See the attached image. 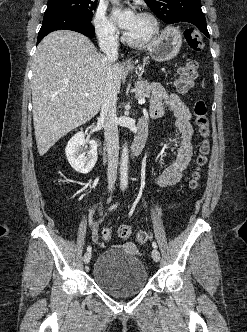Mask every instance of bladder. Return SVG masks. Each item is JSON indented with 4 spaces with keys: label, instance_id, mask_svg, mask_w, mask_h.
Masks as SVG:
<instances>
[{
    "label": "bladder",
    "instance_id": "1",
    "mask_svg": "<svg viewBox=\"0 0 247 332\" xmlns=\"http://www.w3.org/2000/svg\"><path fill=\"white\" fill-rule=\"evenodd\" d=\"M92 277L101 290L117 298L134 296L148 283L145 265L126 244L105 249L95 261Z\"/></svg>",
    "mask_w": 247,
    "mask_h": 332
}]
</instances>
